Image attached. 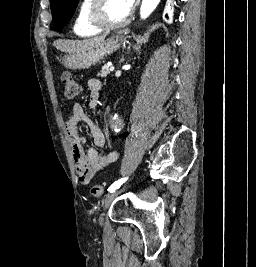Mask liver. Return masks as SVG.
<instances>
[{
  "label": "liver",
  "mask_w": 256,
  "mask_h": 267,
  "mask_svg": "<svg viewBox=\"0 0 256 267\" xmlns=\"http://www.w3.org/2000/svg\"><path fill=\"white\" fill-rule=\"evenodd\" d=\"M105 38L106 36H94L89 40H56L53 46L60 52H66V54H80V52H86L88 48L99 46Z\"/></svg>",
  "instance_id": "1"
}]
</instances>
